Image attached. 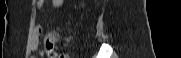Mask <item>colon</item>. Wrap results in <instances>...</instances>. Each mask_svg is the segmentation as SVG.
I'll return each instance as SVG.
<instances>
[{"label":"colon","mask_w":181,"mask_h":58,"mask_svg":"<svg viewBox=\"0 0 181 58\" xmlns=\"http://www.w3.org/2000/svg\"><path fill=\"white\" fill-rule=\"evenodd\" d=\"M53 46H54V40L51 38L46 39V49L51 56L58 58H67L66 55L55 56V54L52 52Z\"/></svg>","instance_id":"obj_1"}]
</instances>
